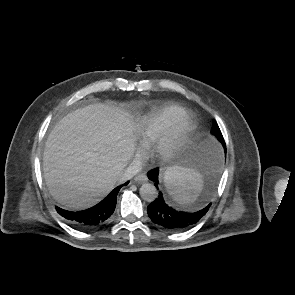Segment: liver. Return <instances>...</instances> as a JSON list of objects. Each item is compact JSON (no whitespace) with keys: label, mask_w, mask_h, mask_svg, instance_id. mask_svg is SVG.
Segmentation results:
<instances>
[{"label":"liver","mask_w":295,"mask_h":295,"mask_svg":"<svg viewBox=\"0 0 295 295\" xmlns=\"http://www.w3.org/2000/svg\"><path fill=\"white\" fill-rule=\"evenodd\" d=\"M135 130L126 113L106 104L63 117L50 132L43 155L52 197L75 210L102 200L121 181L135 150Z\"/></svg>","instance_id":"6515ba94"}]
</instances>
